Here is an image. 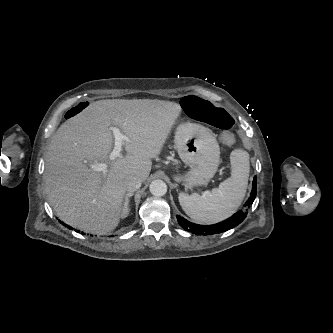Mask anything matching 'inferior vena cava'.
I'll use <instances>...</instances> for the list:
<instances>
[{"instance_id": "obj_1", "label": "inferior vena cava", "mask_w": 333, "mask_h": 333, "mask_svg": "<svg viewBox=\"0 0 333 333\" xmlns=\"http://www.w3.org/2000/svg\"><path fill=\"white\" fill-rule=\"evenodd\" d=\"M142 181L137 177H128L124 181V187L129 192H134L141 187Z\"/></svg>"}]
</instances>
